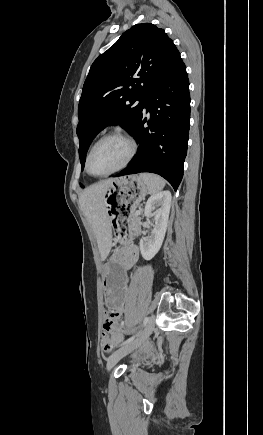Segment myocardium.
<instances>
[{
    "label": "myocardium",
    "instance_id": "obj_1",
    "mask_svg": "<svg viewBox=\"0 0 263 435\" xmlns=\"http://www.w3.org/2000/svg\"><path fill=\"white\" fill-rule=\"evenodd\" d=\"M109 138H119V139L123 140L128 145V148H129L128 156H127L126 160L123 162V164L120 165L118 168H116V169H114L112 171H109L107 173L96 174L90 168V158H91V155H92L95 147L100 142H102V141H104L106 139H109ZM136 151H137V145H136V143H135V141H134V139L132 137H130L129 135H127V134H125L123 132H120V131H111V132H108V133L102 135L100 138H98L94 142V144L91 146V148H90V150H89V152L87 154V157H86V163H85L86 171L91 176H94V177H107V176L113 175L115 173H118V172L122 171L123 169H125L131 163V161L133 160V158H134V156L136 154Z\"/></svg>",
    "mask_w": 263,
    "mask_h": 435
}]
</instances>
